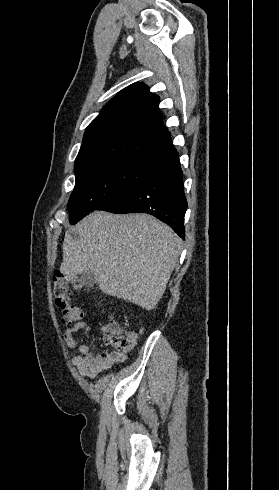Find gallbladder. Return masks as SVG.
I'll return each mask as SVG.
<instances>
[{
    "label": "gallbladder",
    "instance_id": "bac80fb5",
    "mask_svg": "<svg viewBox=\"0 0 279 490\" xmlns=\"http://www.w3.org/2000/svg\"><path fill=\"white\" fill-rule=\"evenodd\" d=\"M78 282H80L81 286H86V288H93L97 280H95V276L94 274H92V272H89V274L88 272H83V274H80Z\"/></svg>",
    "mask_w": 279,
    "mask_h": 490
}]
</instances>
